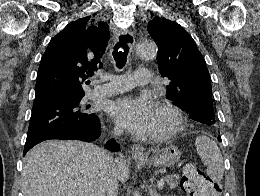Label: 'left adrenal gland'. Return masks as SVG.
<instances>
[{
  "label": "left adrenal gland",
  "mask_w": 260,
  "mask_h": 196,
  "mask_svg": "<svg viewBox=\"0 0 260 196\" xmlns=\"http://www.w3.org/2000/svg\"><path fill=\"white\" fill-rule=\"evenodd\" d=\"M149 196H160V194H157V190H153L152 186H149Z\"/></svg>",
  "instance_id": "1"
}]
</instances>
